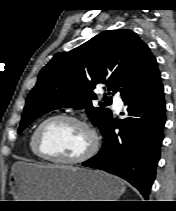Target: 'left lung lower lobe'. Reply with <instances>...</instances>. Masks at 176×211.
Here are the masks:
<instances>
[{"mask_svg":"<svg viewBox=\"0 0 176 211\" xmlns=\"http://www.w3.org/2000/svg\"><path fill=\"white\" fill-rule=\"evenodd\" d=\"M130 117L112 119L100 152L82 163L122 177L145 199L155 178L165 124V99L161 77L122 98ZM124 114V113H122ZM119 133H115V129Z\"/></svg>","mask_w":176,"mask_h":211,"instance_id":"left-lung-lower-lobe-1","label":"left lung lower lobe"}]
</instances>
